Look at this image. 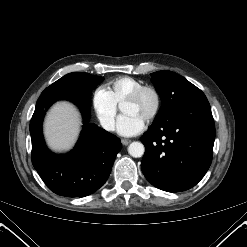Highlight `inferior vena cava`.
I'll return each instance as SVG.
<instances>
[{
    "instance_id": "602c4592",
    "label": "inferior vena cava",
    "mask_w": 247,
    "mask_h": 247,
    "mask_svg": "<svg viewBox=\"0 0 247 247\" xmlns=\"http://www.w3.org/2000/svg\"><path fill=\"white\" fill-rule=\"evenodd\" d=\"M102 127L107 131L115 130V121L113 118L105 117L100 120Z\"/></svg>"
}]
</instances>
